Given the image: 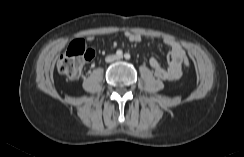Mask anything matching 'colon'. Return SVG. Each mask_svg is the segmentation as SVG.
Returning a JSON list of instances; mask_svg holds the SVG:
<instances>
[{"label": "colon", "instance_id": "1", "mask_svg": "<svg viewBox=\"0 0 244 157\" xmlns=\"http://www.w3.org/2000/svg\"><path fill=\"white\" fill-rule=\"evenodd\" d=\"M94 57V51L83 40L73 41L67 51L58 59L57 70L67 78L75 80L80 77L83 66ZM183 64L189 67L190 59L186 56Z\"/></svg>", "mask_w": 244, "mask_h": 157}]
</instances>
